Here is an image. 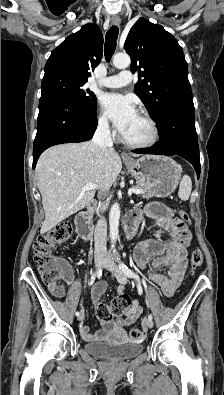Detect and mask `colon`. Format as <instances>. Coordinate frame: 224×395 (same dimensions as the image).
<instances>
[{
  "label": "colon",
  "mask_w": 224,
  "mask_h": 395,
  "mask_svg": "<svg viewBox=\"0 0 224 395\" xmlns=\"http://www.w3.org/2000/svg\"><path fill=\"white\" fill-rule=\"evenodd\" d=\"M179 217L183 222L189 221V216L185 211H179ZM72 233V225L61 224L51 230L40 234L34 245V261L39 267L41 277L46 283H58L68 275V266L53 254V250L60 244L66 242ZM203 263V253L200 249H195L191 253L190 265L193 270L199 268ZM130 306V298L127 295H120L110 304L101 303L97 308V317L101 321H110L114 316L123 314ZM145 336V331L140 328H133L130 331L132 340H141Z\"/></svg>",
  "instance_id": "5ec220e1"
}]
</instances>
